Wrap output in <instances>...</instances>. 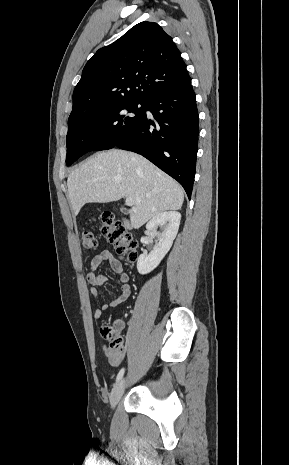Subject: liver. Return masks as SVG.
<instances>
[{
	"instance_id": "liver-1",
	"label": "liver",
	"mask_w": 289,
	"mask_h": 465,
	"mask_svg": "<svg viewBox=\"0 0 289 465\" xmlns=\"http://www.w3.org/2000/svg\"><path fill=\"white\" fill-rule=\"evenodd\" d=\"M74 215L86 203H107L131 197L133 228L156 214L179 210L184 201L180 185L150 161L133 152L112 149L90 157L67 179Z\"/></svg>"
}]
</instances>
